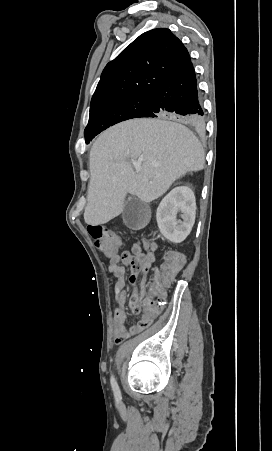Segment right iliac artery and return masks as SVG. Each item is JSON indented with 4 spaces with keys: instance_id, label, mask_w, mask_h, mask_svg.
I'll use <instances>...</instances> for the list:
<instances>
[{
    "instance_id": "right-iliac-artery-1",
    "label": "right iliac artery",
    "mask_w": 272,
    "mask_h": 451,
    "mask_svg": "<svg viewBox=\"0 0 272 451\" xmlns=\"http://www.w3.org/2000/svg\"><path fill=\"white\" fill-rule=\"evenodd\" d=\"M111 385H112V389H113L115 398L117 400H120L121 399V392H120L118 384H117V382H116V380H115V378L113 376H111Z\"/></svg>"
}]
</instances>
